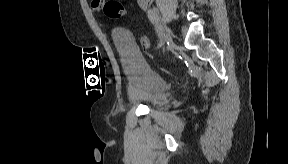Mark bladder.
<instances>
[{
  "label": "bladder",
  "mask_w": 288,
  "mask_h": 164,
  "mask_svg": "<svg viewBox=\"0 0 288 164\" xmlns=\"http://www.w3.org/2000/svg\"><path fill=\"white\" fill-rule=\"evenodd\" d=\"M115 43L128 77V96L149 108H159L170 99L169 83L157 69L147 64L135 45L123 34Z\"/></svg>",
  "instance_id": "bladder-1"
}]
</instances>
